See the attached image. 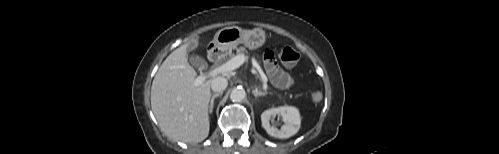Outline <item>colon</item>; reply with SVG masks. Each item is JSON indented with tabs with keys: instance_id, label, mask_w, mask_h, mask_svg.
<instances>
[{
	"instance_id": "obj_1",
	"label": "colon",
	"mask_w": 499,
	"mask_h": 154,
	"mask_svg": "<svg viewBox=\"0 0 499 154\" xmlns=\"http://www.w3.org/2000/svg\"><path fill=\"white\" fill-rule=\"evenodd\" d=\"M280 58L284 65L291 67L297 64L300 55L294 48L285 47L281 52ZM310 97L314 103H319L322 100V93L319 90L314 89L311 91Z\"/></svg>"
}]
</instances>
